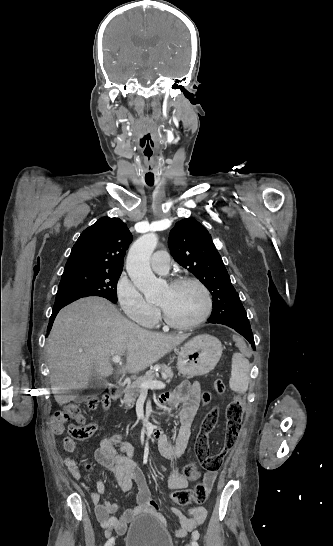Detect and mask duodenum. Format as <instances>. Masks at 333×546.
<instances>
[{
  "mask_svg": "<svg viewBox=\"0 0 333 546\" xmlns=\"http://www.w3.org/2000/svg\"><path fill=\"white\" fill-rule=\"evenodd\" d=\"M120 389L115 384H110L108 388V395L112 400H117L119 398ZM160 434L159 430L154 431L153 438H158Z\"/></svg>",
  "mask_w": 333,
  "mask_h": 546,
  "instance_id": "obj_1",
  "label": "duodenum"
}]
</instances>
